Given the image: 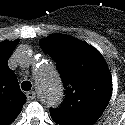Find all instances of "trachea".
Listing matches in <instances>:
<instances>
[{"mask_svg":"<svg viewBox=\"0 0 125 125\" xmlns=\"http://www.w3.org/2000/svg\"><path fill=\"white\" fill-rule=\"evenodd\" d=\"M31 87H32V84H31L30 81H24V82H22V84H21V88H22V90H24V91H30V90H31Z\"/></svg>","mask_w":125,"mask_h":125,"instance_id":"obj_1","label":"trachea"}]
</instances>
